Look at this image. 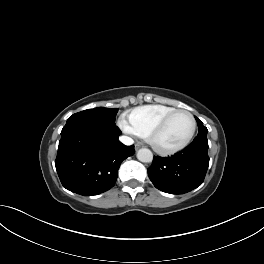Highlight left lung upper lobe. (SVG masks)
Segmentation results:
<instances>
[{"label":"left lung upper lobe","mask_w":264,"mask_h":264,"mask_svg":"<svg viewBox=\"0 0 264 264\" xmlns=\"http://www.w3.org/2000/svg\"><path fill=\"white\" fill-rule=\"evenodd\" d=\"M195 118L198 124V130H199V133L197 136L207 137V132H208L207 128L203 126V123L197 117Z\"/></svg>","instance_id":"obj_1"}]
</instances>
